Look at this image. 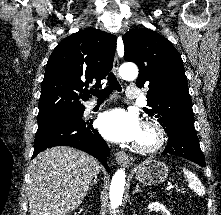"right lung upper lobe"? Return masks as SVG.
I'll return each instance as SVG.
<instances>
[{"mask_svg":"<svg viewBox=\"0 0 221 215\" xmlns=\"http://www.w3.org/2000/svg\"><path fill=\"white\" fill-rule=\"evenodd\" d=\"M116 37L86 29L62 40L53 50L41 85L38 117L84 108L88 87H101L113 67Z\"/></svg>","mask_w":221,"mask_h":215,"instance_id":"1","label":"right lung upper lobe"}]
</instances>
